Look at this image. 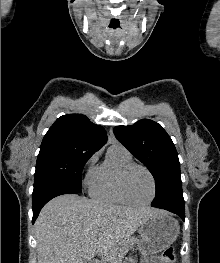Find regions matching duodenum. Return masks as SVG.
I'll list each match as a JSON object with an SVG mask.
<instances>
[{
    "instance_id": "1",
    "label": "duodenum",
    "mask_w": 220,
    "mask_h": 263,
    "mask_svg": "<svg viewBox=\"0 0 220 263\" xmlns=\"http://www.w3.org/2000/svg\"><path fill=\"white\" fill-rule=\"evenodd\" d=\"M91 263H98L97 261H92Z\"/></svg>"
}]
</instances>
